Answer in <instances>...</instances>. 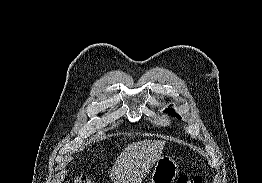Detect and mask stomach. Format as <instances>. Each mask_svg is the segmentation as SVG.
<instances>
[{"mask_svg": "<svg viewBox=\"0 0 262 183\" xmlns=\"http://www.w3.org/2000/svg\"><path fill=\"white\" fill-rule=\"evenodd\" d=\"M179 174V165L172 157L161 156L154 164L149 183H173Z\"/></svg>", "mask_w": 262, "mask_h": 183, "instance_id": "1", "label": "stomach"}]
</instances>
